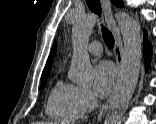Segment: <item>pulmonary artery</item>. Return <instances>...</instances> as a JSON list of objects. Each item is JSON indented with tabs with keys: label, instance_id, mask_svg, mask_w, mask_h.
Returning <instances> with one entry per match:
<instances>
[{
	"label": "pulmonary artery",
	"instance_id": "e3ab8cb5",
	"mask_svg": "<svg viewBox=\"0 0 156 124\" xmlns=\"http://www.w3.org/2000/svg\"><path fill=\"white\" fill-rule=\"evenodd\" d=\"M87 50L92 55H100L102 53V44L99 41H92Z\"/></svg>",
	"mask_w": 156,
	"mask_h": 124
}]
</instances>
